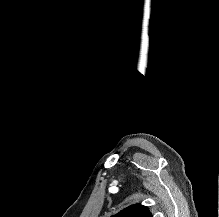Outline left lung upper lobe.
I'll return each mask as SVG.
<instances>
[{
    "mask_svg": "<svg viewBox=\"0 0 219 217\" xmlns=\"http://www.w3.org/2000/svg\"><path fill=\"white\" fill-rule=\"evenodd\" d=\"M112 217H152V214L147 207L141 204H135L123 209Z\"/></svg>",
    "mask_w": 219,
    "mask_h": 217,
    "instance_id": "1",
    "label": "left lung upper lobe"
}]
</instances>
